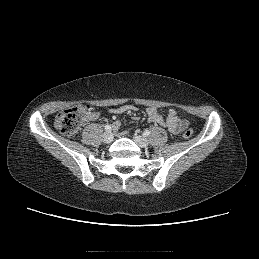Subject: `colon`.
<instances>
[{
	"label": "colon",
	"mask_w": 259,
	"mask_h": 259,
	"mask_svg": "<svg viewBox=\"0 0 259 259\" xmlns=\"http://www.w3.org/2000/svg\"><path fill=\"white\" fill-rule=\"evenodd\" d=\"M91 106L77 105L59 112L55 118L56 128L64 135L75 138L78 136L83 122L91 114ZM193 130L187 128L183 131L184 138H191Z\"/></svg>",
	"instance_id": "1"
}]
</instances>
